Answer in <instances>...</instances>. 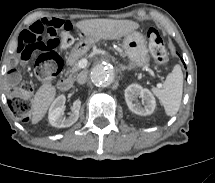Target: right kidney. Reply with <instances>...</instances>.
Wrapping results in <instances>:
<instances>
[{
	"label": "right kidney",
	"instance_id": "right-kidney-1",
	"mask_svg": "<svg viewBox=\"0 0 215 183\" xmlns=\"http://www.w3.org/2000/svg\"><path fill=\"white\" fill-rule=\"evenodd\" d=\"M65 101H66L65 96L60 95L54 100L49 109L48 119L50 124L54 127L57 128L69 127L73 125L79 118L81 101L75 100L73 102L71 112L69 113V117L67 118L64 116Z\"/></svg>",
	"mask_w": 215,
	"mask_h": 183
}]
</instances>
